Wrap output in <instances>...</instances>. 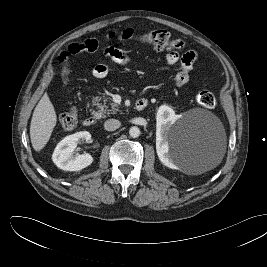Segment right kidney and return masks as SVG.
Masks as SVG:
<instances>
[{
	"label": "right kidney",
	"instance_id": "1",
	"mask_svg": "<svg viewBox=\"0 0 267 267\" xmlns=\"http://www.w3.org/2000/svg\"><path fill=\"white\" fill-rule=\"evenodd\" d=\"M91 134L87 131H80L66 136L61 140L52 155L55 165L65 171H80L93 162V157L88 154L73 155L79 141H89Z\"/></svg>",
	"mask_w": 267,
	"mask_h": 267
}]
</instances>
